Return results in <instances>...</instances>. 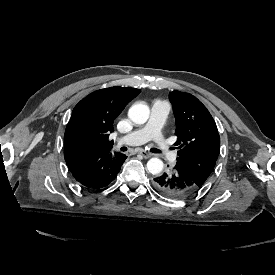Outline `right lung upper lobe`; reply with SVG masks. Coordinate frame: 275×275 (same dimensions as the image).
<instances>
[{
    "label": "right lung upper lobe",
    "instance_id": "obj_1",
    "mask_svg": "<svg viewBox=\"0 0 275 275\" xmlns=\"http://www.w3.org/2000/svg\"><path fill=\"white\" fill-rule=\"evenodd\" d=\"M140 93L136 88L114 86L95 91L73 109L64 136L65 154L111 149L108 137L113 121L128 102Z\"/></svg>",
    "mask_w": 275,
    "mask_h": 275
}]
</instances>
